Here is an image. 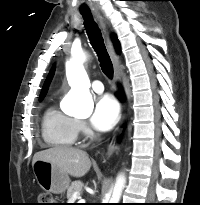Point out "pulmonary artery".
I'll use <instances>...</instances> for the list:
<instances>
[{"mask_svg": "<svg viewBox=\"0 0 200 205\" xmlns=\"http://www.w3.org/2000/svg\"><path fill=\"white\" fill-rule=\"evenodd\" d=\"M91 86L96 93H102L104 91V86L99 80L93 81Z\"/></svg>", "mask_w": 200, "mask_h": 205, "instance_id": "e3ab8cb5", "label": "pulmonary artery"}]
</instances>
